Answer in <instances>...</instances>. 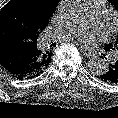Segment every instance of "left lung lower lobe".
<instances>
[{
  "mask_svg": "<svg viewBox=\"0 0 118 118\" xmlns=\"http://www.w3.org/2000/svg\"><path fill=\"white\" fill-rule=\"evenodd\" d=\"M100 79L107 83L117 84L118 83V60L109 64L105 72L98 76Z\"/></svg>",
  "mask_w": 118,
  "mask_h": 118,
  "instance_id": "0a47b994",
  "label": "left lung lower lobe"
}]
</instances>
